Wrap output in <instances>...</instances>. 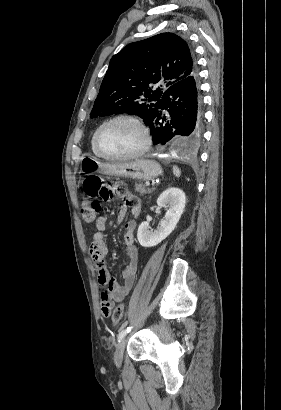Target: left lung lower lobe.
<instances>
[{"instance_id":"1","label":"left lung lower lobe","mask_w":281,"mask_h":410,"mask_svg":"<svg viewBox=\"0 0 281 410\" xmlns=\"http://www.w3.org/2000/svg\"><path fill=\"white\" fill-rule=\"evenodd\" d=\"M145 124L150 128L154 145H164L173 137L184 147L200 141L202 102L197 71L164 91L157 101L156 112Z\"/></svg>"}]
</instances>
